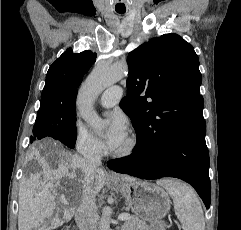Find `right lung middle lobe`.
Wrapping results in <instances>:
<instances>
[{"label":"right lung middle lobe","mask_w":241,"mask_h":230,"mask_svg":"<svg viewBox=\"0 0 241 230\" xmlns=\"http://www.w3.org/2000/svg\"><path fill=\"white\" fill-rule=\"evenodd\" d=\"M48 137L73 148L77 138L76 110L38 111L30 142Z\"/></svg>","instance_id":"right-lung-middle-lobe-1"}]
</instances>
